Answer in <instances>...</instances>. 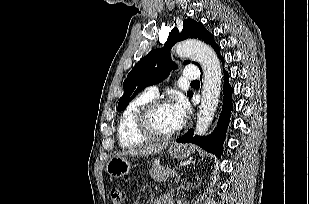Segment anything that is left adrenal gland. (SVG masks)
Instances as JSON below:
<instances>
[{"label":"left adrenal gland","instance_id":"1","mask_svg":"<svg viewBox=\"0 0 309 204\" xmlns=\"http://www.w3.org/2000/svg\"><path fill=\"white\" fill-rule=\"evenodd\" d=\"M179 179H180V175H179V176H177V178H176V183H178V182H179Z\"/></svg>","mask_w":309,"mask_h":204}]
</instances>
